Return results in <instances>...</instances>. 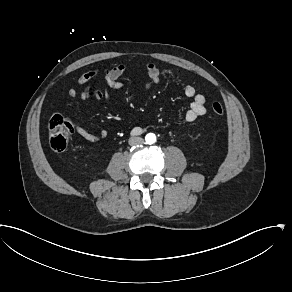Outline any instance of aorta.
Wrapping results in <instances>:
<instances>
[{"label": "aorta", "mask_w": 292, "mask_h": 292, "mask_svg": "<svg viewBox=\"0 0 292 292\" xmlns=\"http://www.w3.org/2000/svg\"><path fill=\"white\" fill-rule=\"evenodd\" d=\"M145 139L148 144H153L156 141V136L153 133H149L146 135Z\"/></svg>", "instance_id": "obj_1"}]
</instances>
